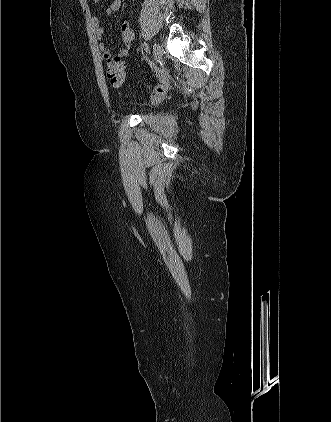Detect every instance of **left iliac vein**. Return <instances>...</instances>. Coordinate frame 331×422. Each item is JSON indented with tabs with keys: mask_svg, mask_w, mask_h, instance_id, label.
<instances>
[{
	"mask_svg": "<svg viewBox=\"0 0 331 422\" xmlns=\"http://www.w3.org/2000/svg\"><path fill=\"white\" fill-rule=\"evenodd\" d=\"M153 53H154L155 61L156 62L160 61L163 56V50L160 44L158 43L153 44Z\"/></svg>",
	"mask_w": 331,
	"mask_h": 422,
	"instance_id": "4c4485c4",
	"label": "left iliac vein"
}]
</instances>
